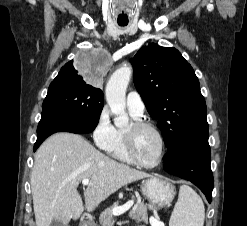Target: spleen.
<instances>
[{"label": "spleen", "instance_id": "3e777b00", "mask_svg": "<svg viewBox=\"0 0 247 226\" xmlns=\"http://www.w3.org/2000/svg\"><path fill=\"white\" fill-rule=\"evenodd\" d=\"M204 219L205 208L200 196L191 187L181 185L169 226H203Z\"/></svg>", "mask_w": 247, "mask_h": 226}]
</instances>
